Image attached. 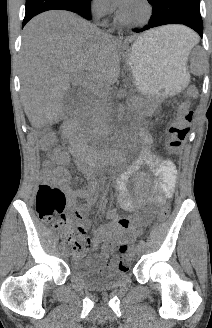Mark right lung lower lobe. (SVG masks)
Returning a JSON list of instances; mask_svg holds the SVG:
<instances>
[{"label":"right lung lower lobe","mask_w":212,"mask_h":328,"mask_svg":"<svg viewBox=\"0 0 212 328\" xmlns=\"http://www.w3.org/2000/svg\"><path fill=\"white\" fill-rule=\"evenodd\" d=\"M91 0H26V12L22 27L34 16L48 10H67L90 20Z\"/></svg>","instance_id":"98d812e1"}]
</instances>
